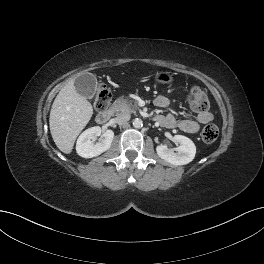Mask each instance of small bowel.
I'll use <instances>...</instances> for the list:
<instances>
[{
    "label": "small bowel",
    "mask_w": 264,
    "mask_h": 264,
    "mask_svg": "<svg viewBox=\"0 0 264 264\" xmlns=\"http://www.w3.org/2000/svg\"><path fill=\"white\" fill-rule=\"evenodd\" d=\"M154 104L160 108H167L170 106L171 100L165 95H158L154 100ZM156 120L160 125L164 127H178L180 130L188 134H196L199 132L202 125L209 123L213 120V115L207 111L204 113H199L193 119L177 120L174 115L168 114L159 115L157 116Z\"/></svg>",
    "instance_id": "1"
}]
</instances>
